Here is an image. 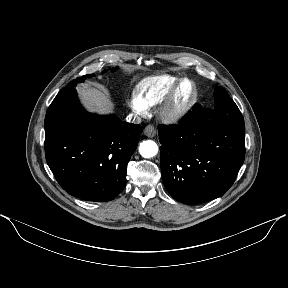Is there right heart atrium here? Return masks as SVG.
<instances>
[{"mask_svg": "<svg viewBox=\"0 0 288 288\" xmlns=\"http://www.w3.org/2000/svg\"><path fill=\"white\" fill-rule=\"evenodd\" d=\"M127 105L132 111L137 114H145L147 112V108L145 107V105L134 94L128 97Z\"/></svg>", "mask_w": 288, "mask_h": 288, "instance_id": "d8ad5b80", "label": "right heart atrium"}]
</instances>
